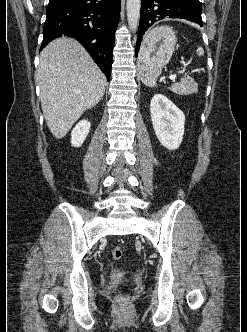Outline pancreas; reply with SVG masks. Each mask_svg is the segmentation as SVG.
I'll return each instance as SVG.
<instances>
[{"instance_id":"1","label":"pancreas","mask_w":247,"mask_h":332,"mask_svg":"<svg viewBox=\"0 0 247 332\" xmlns=\"http://www.w3.org/2000/svg\"><path fill=\"white\" fill-rule=\"evenodd\" d=\"M182 84L185 86V87H189L191 85H193L192 83V80L191 78L187 77V78H184L183 81H182Z\"/></svg>"}]
</instances>
